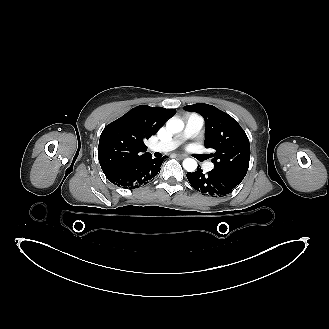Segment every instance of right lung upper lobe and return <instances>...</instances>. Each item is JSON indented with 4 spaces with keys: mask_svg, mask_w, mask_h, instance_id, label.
Wrapping results in <instances>:
<instances>
[{
    "mask_svg": "<svg viewBox=\"0 0 329 329\" xmlns=\"http://www.w3.org/2000/svg\"><path fill=\"white\" fill-rule=\"evenodd\" d=\"M175 109L140 105L107 125L99 140L98 159L104 174L125 169L151 156L145 141L164 125Z\"/></svg>",
    "mask_w": 329,
    "mask_h": 329,
    "instance_id": "obj_1",
    "label": "right lung upper lobe"
}]
</instances>
